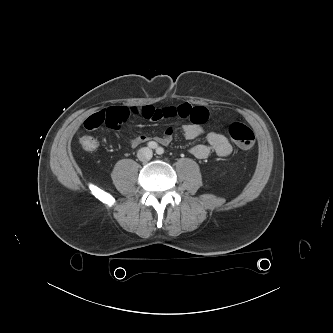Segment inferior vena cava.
Masks as SVG:
<instances>
[{
  "label": "inferior vena cava",
  "instance_id": "inferior-vena-cava-1",
  "mask_svg": "<svg viewBox=\"0 0 333 333\" xmlns=\"http://www.w3.org/2000/svg\"><path fill=\"white\" fill-rule=\"evenodd\" d=\"M153 156V152L150 148L148 147H143L141 148L138 153H137V157L140 161H149Z\"/></svg>",
  "mask_w": 333,
  "mask_h": 333
}]
</instances>
